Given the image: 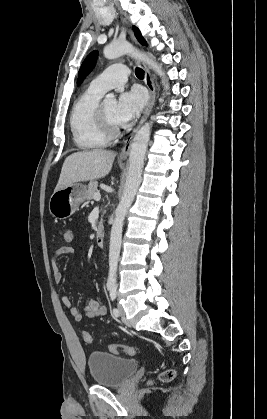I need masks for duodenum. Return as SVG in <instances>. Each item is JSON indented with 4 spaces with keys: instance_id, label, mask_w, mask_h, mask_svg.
<instances>
[{
    "instance_id": "1",
    "label": "duodenum",
    "mask_w": 267,
    "mask_h": 419,
    "mask_svg": "<svg viewBox=\"0 0 267 419\" xmlns=\"http://www.w3.org/2000/svg\"><path fill=\"white\" fill-rule=\"evenodd\" d=\"M96 243L99 247H103L105 244V233L103 231H98L96 234Z\"/></svg>"
}]
</instances>
